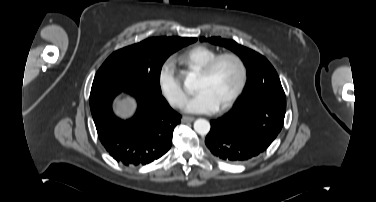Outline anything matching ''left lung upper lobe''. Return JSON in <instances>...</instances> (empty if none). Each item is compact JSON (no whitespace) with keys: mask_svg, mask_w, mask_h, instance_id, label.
<instances>
[{"mask_svg":"<svg viewBox=\"0 0 376 202\" xmlns=\"http://www.w3.org/2000/svg\"><path fill=\"white\" fill-rule=\"evenodd\" d=\"M200 41H209L213 44L231 49L243 60L247 69V86L245 94L237 106L243 107L258 101H266L286 108V98L277 72L270 62L259 53L243 47L233 40L211 37L201 38Z\"/></svg>","mask_w":376,"mask_h":202,"instance_id":"obj_1","label":"left lung upper lobe"}]
</instances>
